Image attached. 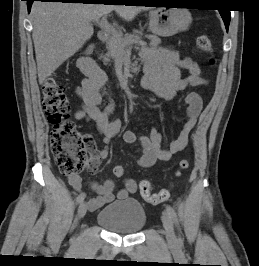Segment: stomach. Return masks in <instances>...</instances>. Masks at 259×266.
I'll list each match as a JSON object with an SVG mask.
<instances>
[{
  "label": "stomach",
  "instance_id": "stomach-1",
  "mask_svg": "<svg viewBox=\"0 0 259 266\" xmlns=\"http://www.w3.org/2000/svg\"><path fill=\"white\" fill-rule=\"evenodd\" d=\"M149 29L155 36L169 37L186 31L191 22V13L181 8H157L150 11Z\"/></svg>",
  "mask_w": 259,
  "mask_h": 266
}]
</instances>
